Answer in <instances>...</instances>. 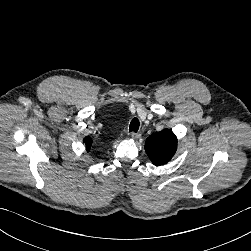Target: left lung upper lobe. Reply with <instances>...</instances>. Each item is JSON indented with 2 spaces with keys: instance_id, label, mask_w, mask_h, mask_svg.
Masks as SVG:
<instances>
[{
  "instance_id": "obj_1",
  "label": "left lung upper lobe",
  "mask_w": 251,
  "mask_h": 251,
  "mask_svg": "<svg viewBox=\"0 0 251 251\" xmlns=\"http://www.w3.org/2000/svg\"><path fill=\"white\" fill-rule=\"evenodd\" d=\"M177 149V138L169 129H163L150 135L145 143V151L156 166L171 160Z\"/></svg>"
}]
</instances>
